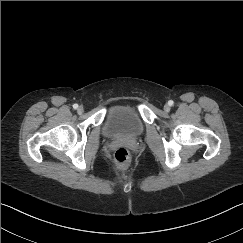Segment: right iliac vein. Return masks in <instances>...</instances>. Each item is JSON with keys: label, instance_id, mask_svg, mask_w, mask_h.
Returning <instances> with one entry per match:
<instances>
[{"label": "right iliac vein", "instance_id": "1", "mask_svg": "<svg viewBox=\"0 0 243 243\" xmlns=\"http://www.w3.org/2000/svg\"><path fill=\"white\" fill-rule=\"evenodd\" d=\"M77 112L78 113H82L83 112V107L82 106H79L78 109H77Z\"/></svg>", "mask_w": 243, "mask_h": 243}]
</instances>
